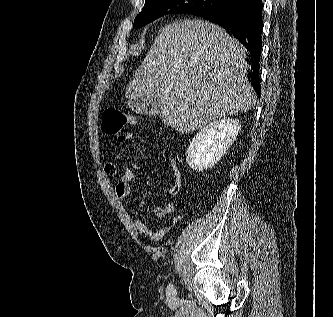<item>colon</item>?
Returning <instances> with one entry per match:
<instances>
[{
    "label": "colon",
    "mask_w": 333,
    "mask_h": 317,
    "mask_svg": "<svg viewBox=\"0 0 333 317\" xmlns=\"http://www.w3.org/2000/svg\"><path fill=\"white\" fill-rule=\"evenodd\" d=\"M134 123V118L122 109L110 106L102 114V131L107 135H119Z\"/></svg>",
    "instance_id": "colon-1"
}]
</instances>
